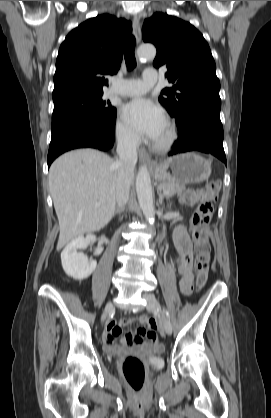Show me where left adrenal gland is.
Segmentation results:
<instances>
[{"label": "left adrenal gland", "instance_id": "left-adrenal-gland-1", "mask_svg": "<svg viewBox=\"0 0 271 418\" xmlns=\"http://www.w3.org/2000/svg\"><path fill=\"white\" fill-rule=\"evenodd\" d=\"M157 193H158V196H159V204L163 205L164 196L160 192H157ZM169 206L171 207V203L169 204Z\"/></svg>", "mask_w": 271, "mask_h": 418}]
</instances>
